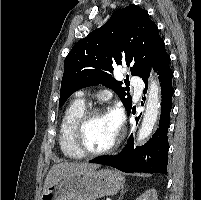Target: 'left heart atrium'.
<instances>
[{
	"instance_id": "left-heart-atrium-1",
	"label": "left heart atrium",
	"mask_w": 201,
	"mask_h": 200,
	"mask_svg": "<svg viewBox=\"0 0 201 200\" xmlns=\"http://www.w3.org/2000/svg\"><path fill=\"white\" fill-rule=\"evenodd\" d=\"M107 115L110 118L116 133L118 134L123 121L121 111L118 108H114Z\"/></svg>"
}]
</instances>
